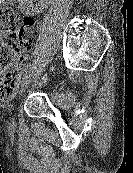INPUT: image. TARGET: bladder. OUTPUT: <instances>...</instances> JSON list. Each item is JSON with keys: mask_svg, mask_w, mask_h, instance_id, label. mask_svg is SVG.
I'll list each match as a JSON object with an SVG mask.
<instances>
[{"mask_svg": "<svg viewBox=\"0 0 133 173\" xmlns=\"http://www.w3.org/2000/svg\"><path fill=\"white\" fill-rule=\"evenodd\" d=\"M46 92H47V94L49 95V96H51L52 98H54L55 96H56V94H57V89H56V87L54 86V85H48L47 87H46V90H45Z\"/></svg>", "mask_w": 133, "mask_h": 173, "instance_id": "1", "label": "bladder"}]
</instances>
